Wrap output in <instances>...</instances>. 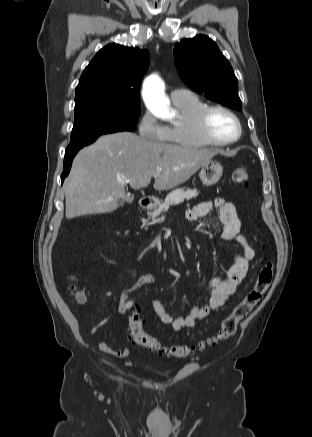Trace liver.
Masks as SVG:
<instances>
[{
  "mask_svg": "<svg viewBox=\"0 0 312 437\" xmlns=\"http://www.w3.org/2000/svg\"><path fill=\"white\" fill-rule=\"evenodd\" d=\"M216 150L151 142L129 132L99 137L80 150L64 182L66 217L112 212L125 199V184L147 187L153 174L155 190L186 182Z\"/></svg>",
  "mask_w": 312,
  "mask_h": 437,
  "instance_id": "6515ba94",
  "label": "liver"
}]
</instances>
